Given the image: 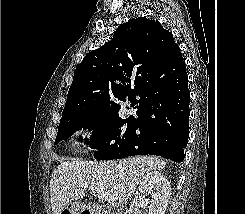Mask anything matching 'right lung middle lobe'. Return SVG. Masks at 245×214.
<instances>
[{
    "instance_id": "1",
    "label": "right lung middle lobe",
    "mask_w": 245,
    "mask_h": 214,
    "mask_svg": "<svg viewBox=\"0 0 245 214\" xmlns=\"http://www.w3.org/2000/svg\"><path fill=\"white\" fill-rule=\"evenodd\" d=\"M117 114L89 112L62 115L55 144L68 138L77 130L88 129L93 131L92 138L90 142L85 143L98 150L94 157L98 160H110L112 159L110 152L126 143L127 127L134 118L130 116L124 120Z\"/></svg>"
}]
</instances>
